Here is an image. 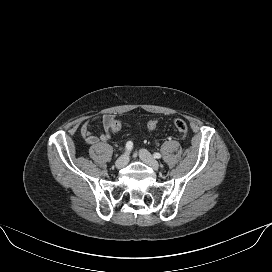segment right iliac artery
I'll list each match as a JSON object with an SVG mask.
<instances>
[{
  "label": "right iliac artery",
  "instance_id": "right-iliac-artery-1",
  "mask_svg": "<svg viewBox=\"0 0 272 272\" xmlns=\"http://www.w3.org/2000/svg\"><path fill=\"white\" fill-rule=\"evenodd\" d=\"M133 148V142L132 141H128L126 143V150H127V153H129Z\"/></svg>",
  "mask_w": 272,
  "mask_h": 272
}]
</instances>
